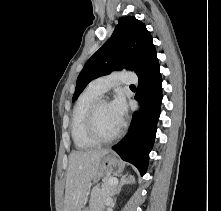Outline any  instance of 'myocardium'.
<instances>
[{
	"mask_svg": "<svg viewBox=\"0 0 221 211\" xmlns=\"http://www.w3.org/2000/svg\"><path fill=\"white\" fill-rule=\"evenodd\" d=\"M105 102H107L106 98H104V97L98 98L90 106V108L87 112V115H86V120H85L86 133H87L88 137L96 143L112 142V141L116 140L117 138H119L120 135L122 134V131H123L122 127H120L119 130L115 134H113L109 137H104L98 132L97 124H96L97 112H98L99 107Z\"/></svg>",
	"mask_w": 221,
	"mask_h": 211,
	"instance_id": "1",
	"label": "myocardium"
}]
</instances>
